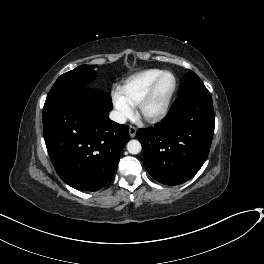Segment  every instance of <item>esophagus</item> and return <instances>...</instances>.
<instances>
[{"label": "esophagus", "mask_w": 264, "mask_h": 264, "mask_svg": "<svg viewBox=\"0 0 264 264\" xmlns=\"http://www.w3.org/2000/svg\"><path fill=\"white\" fill-rule=\"evenodd\" d=\"M137 133V129L134 126H130L129 127V135L131 138H134L136 136Z\"/></svg>", "instance_id": "34e87169"}]
</instances>
